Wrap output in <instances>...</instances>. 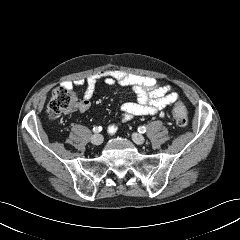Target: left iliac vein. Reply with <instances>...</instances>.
Here are the masks:
<instances>
[{
  "label": "left iliac vein",
  "instance_id": "4c4485c4",
  "mask_svg": "<svg viewBox=\"0 0 240 240\" xmlns=\"http://www.w3.org/2000/svg\"><path fill=\"white\" fill-rule=\"evenodd\" d=\"M132 140L138 145H142L145 142L144 136L139 133H133Z\"/></svg>",
  "mask_w": 240,
  "mask_h": 240
}]
</instances>
